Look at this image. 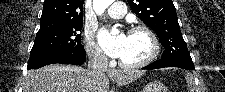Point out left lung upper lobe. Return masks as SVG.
<instances>
[{
	"instance_id": "1",
	"label": "left lung upper lobe",
	"mask_w": 225,
	"mask_h": 92,
	"mask_svg": "<svg viewBox=\"0 0 225 92\" xmlns=\"http://www.w3.org/2000/svg\"><path fill=\"white\" fill-rule=\"evenodd\" d=\"M131 9L153 29L165 50L161 60H191L172 0H127Z\"/></svg>"
}]
</instances>
